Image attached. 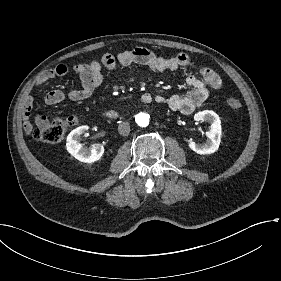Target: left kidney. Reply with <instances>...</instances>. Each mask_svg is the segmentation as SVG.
Masks as SVG:
<instances>
[{"instance_id":"1","label":"left kidney","mask_w":281,"mask_h":281,"mask_svg":"<svg viewBox=\"0 0 281 281\" xmlns=\"http://www.w3.org/2000/svg\"><path fill=\"white\" fill-rule=\"evenodd\" d=\"M194 119L199 122H209V131L206 132L208 140L203 144H196L189 141L187 146L190 150L200 155H207L215 153L221 141V122L219 116L213 111H201L194 115Z\"/></svg>"}]
</instances>
